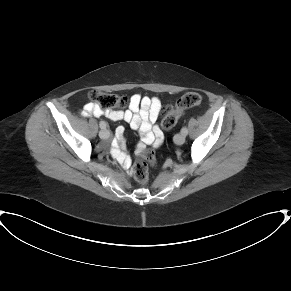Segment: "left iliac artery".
<instances>
[{
	"mask_svg": "<svg viewBox=\"0 0 291 291\" xmlns=\"http://www.w3.org/2000/svg\"><path fill=\"white\" fill-rule=\"evenodd\" d=\"M181 133L184 134V135H187V133H188L187 128H186V127H183V128L181 129Z\"/></svg>",
	"mask_w": 291,
	"mask_h": 291,
	"instance_id": "44dca946",
	"label": "left iliac artery"
}]
</instances>
